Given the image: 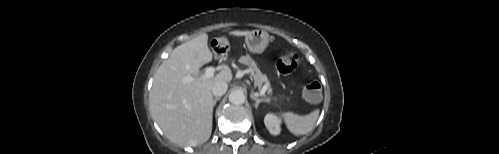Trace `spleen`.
<instances>
[{
  "label": "spleen",
  "instance_id": "spleen-1",
  "mask_svg": "<svg viewBox=\"0 0 499 154\" xmlns=\"http://www.w3.org/2000/svg\"><path fill=\"white\" fill-rule=\"evenodd\" d=\"M281 115L284 118L287 129L295 136H301L313 129L319 116V109L313 110L305 116L292 112H283Z\"/></svg>",
  "mask_w": 499,
  "mask_h": 154
}]
</instances>
